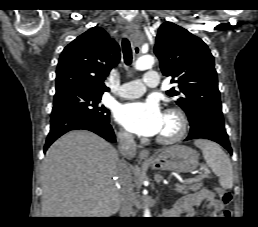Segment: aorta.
Segmentation results:
<instances>
[{
  "mask_svg": "<svg viewBox=\"0 0 258 227\" xmlns=\"http://www.w3.org/2000/svg\"><path fill=\"white\" fill-rule=\"evenodd\" d=\"M153 64H154V57H152L151 55H144L138 58V60L135 63V68L137 70H146L151 68ZM144 217H151L150 211L147 207L144 210Z\"/></svg>",
  "mask_w": 258,
  "mask_h": 227,
  "instance_id": "762f6f07",
  "label": "aorta"
}]
</instances>
